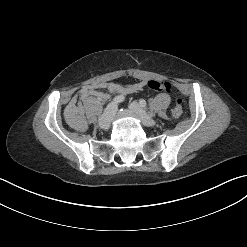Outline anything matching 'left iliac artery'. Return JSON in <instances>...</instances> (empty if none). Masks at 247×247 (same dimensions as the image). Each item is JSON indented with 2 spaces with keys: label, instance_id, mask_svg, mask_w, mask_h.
Masks as SVG:
<instances>
[{
  "label": "left iliac artery",
  "instance_id": "left-iliac-artery-1",
  "mask_svg": "<svg viewBox=\"0 0 247 247\" xmlns=\"http://www.w3.org/2000/svg\"><path fill=\"white\" fill-rule=\"evenodd\" d=\"M139 104H140L141 107H145L146 106V101L144 99H141L139 101Z\"/></svg>",
  "mask_w": 247,
  "mask_h": 247
}]
</instances>
